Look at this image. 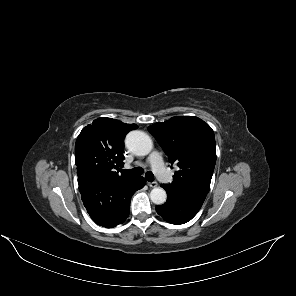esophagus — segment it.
I'll list each match as a JSON object with an SVG mask.
<instances>
[{
  "mask_svg": "<svg viewBox=\"0 0 296 296\" xmlns=\"http://www.w3.org/2000/svg\"><path fill=\"white\" fill-rule=\"evenodd\" d=\"M148 186L152 187V188H155L157 187L158 183L156 181H153V182H147Z\"/></svg>",
  "mask_w": 296,
  "mask_h": 296,
  "instance_id": "esophagus-1",
  "label": "esophagus"
}]
</instances>
